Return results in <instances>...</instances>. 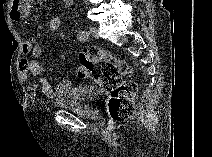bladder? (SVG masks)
<instances>
[{
	"label": "bladder",
	"mask_w": 212,
	"mask_h": 157,
	"mask_svg": "<svg viewBox=\"0 0 212 157\" xmlns=\"http://www.w3.org/2000/svg\"><path fill=\"white\" fill-rule=\"evenodd\" d=\"M104 98V92L95 86H80L70 89L56 102L61 109H70L89 119L100 116L99 103Z\"/></svg>",
	"instance_id": "31cf9c89"
}]
</instances>
